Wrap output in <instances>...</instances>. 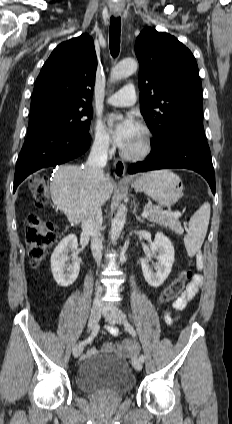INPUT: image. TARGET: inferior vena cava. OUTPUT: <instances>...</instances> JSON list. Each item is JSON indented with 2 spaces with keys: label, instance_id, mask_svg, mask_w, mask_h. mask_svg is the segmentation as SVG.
Instances as JSON below:
<instances>
[{
  "label": "inferior vena cava",
  "instance_id": "602c4592",
  "mask_svg": "<svg viewBox=\"0 0 232 424\" xmlns=\"http://www.w3.org/2000/svg\"><path fill=\"white\" fill-rule=\"evenodd\" d=\"M109 142L105 139L95 140L91 148L88 160L85 164V172L92 180V207L82 220L83 234L91 236V250L94 259L99 264L102 259V238L100 228L102 225L101 193L99 187L106 180L103 168L107 164ZM102 287L96 288L95 303L101 301Z\"/></svg>",
  "mask_w": 232,
  "mask_h": 424
}]
</instances>
